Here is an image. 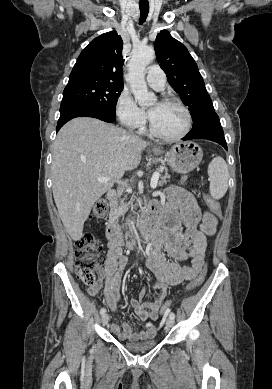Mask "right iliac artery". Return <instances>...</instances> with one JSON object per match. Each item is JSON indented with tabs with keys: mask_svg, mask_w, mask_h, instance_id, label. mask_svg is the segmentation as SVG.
<instances>
[{
	"mask_svg": "<svg viewBox=\"0 0 272 389\" xmlns=\"http://www.w3.org/2000/svg\"><path fill=\"white\" fill-rule=\"evenodd\" d=\"M105 312H106V309L105 308H101L100 314L103 315Z\"/></svg>",
	"mask_w": 272,
	"mask_h": 389,
	"instance_id": "right-iliac-artery-1",
	"label": "right iliac artery"
}]
</instances>
